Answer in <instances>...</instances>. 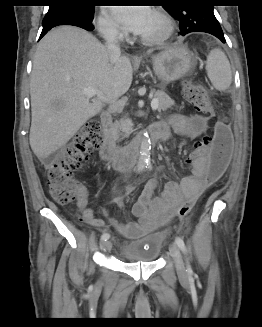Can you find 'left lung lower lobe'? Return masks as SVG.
Returning <instances> with one entry per match:
<instances>
[{
    "label": "left lung lower lobe",
    "mask_w": 262,
    "mask_h": 327,
    "mask_svg": "<svg viewBox=\"0 0 262 327\" xmlns=\"http://www.w3.org/2000/svg\"><path fill=\"white\" fill-rule=\"evenodd\" d=\"M217 38H219L223 43L226 42L225 38H224V35H219V36H216Z\"/></svg>",
    "instance_id": "1"
}]
</instances>
